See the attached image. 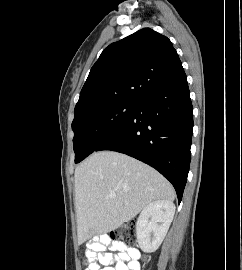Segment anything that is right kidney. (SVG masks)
I'll list each match as a JSON object with an SVG mask.
<instances>
[{
  "instance_id": "ca27d5eb",
  "label": "right kidney",
  "mask_w": 242,
  "mask_h": 270,
  "mask_svg": "<svg viewBox=\"0 0 242 270\" xmlns=\"http://www.w3.org/2000/svg\"><path fill=\"white\" fill-rule=\"evenodd\" d=\"M175 205L171 201L157 200L141 211L136 222V236L144 252H154L161 245L173 220Z\"/></svg>"
}]
</instances>
